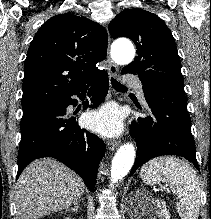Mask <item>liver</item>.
Masks as SVG:
<instances>
[{
    "label": "liver",
    "instance_id": "obj_1",
    "mask_svg": "<svg viewBox=\"0 0 211 219\" xmlns=\"http://www.w3.org/2000/svg\"><path fill=\"white\" fill-rule=\"evenodd\" d=\"M83 180L53 158L30 163L18 178L15 203L18 219H38L67 209L81 198Z\"/></svg>",
    "mask_w": 211,
    "mask_h": 219
}]
</instances>
